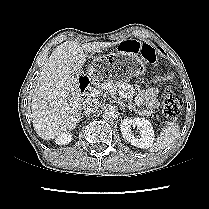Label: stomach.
<instances>
[{"instance_id":"0dacf381","label":"stomach","mask_w":209,"mask_h":209,"mask_svg":"<svg viewBox=\"0 0 209 209\" xmlns=\"http://www.w3.org/2000/svg\"><path fill=\"white\" fill-rule=\"evenodd\" d=\"M145 71V62L137 54L124 51L97 56L89 64L91 79L101 85L111 81H125L131 77L143 75Z\"/></svg>"}]
</instances>
